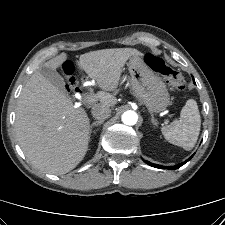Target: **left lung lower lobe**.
<instances>
[{
  "label": "left lung lower lobe",
  "mask_w": 225,
  "mask_h": 225,
  "mask_svg": "<svg viewBox=\"0 0 225 225\" xmlns=\"http://www.w3.org/2000/svg\"><path fill=\"white\" fill-rule=\"evenodd\" d=\"M193 81H194V79H193ZM194 83H195V81H194ZM191 158H192V156L188 160H190ZM187 161H185V162H183V163H181L179 165H176V166H168V167L161 166V165H157V164H152L150 162H146V163L149 164L150 166H153V167H156V168H162V169H164V168H167V169H178L179 167H181L182 165H184Z\"/></svg>",
  "instance_id": "1"
}]
</instances>
